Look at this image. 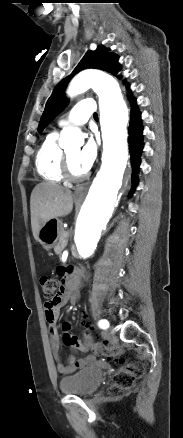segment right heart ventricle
Masks as SVG:
<instances>
[{
    "mask_svg": "<svg viewBox=\"0 0 183 438\" xmlns=\"http://www.w3.org/2000/svg\"><path fill=\"white\" fill-rule=\"evenodd\" d=\"M57 137V133H51L45 138L36 156V167L45 180L60 183L64 181L61 171L63 150L57 143Z\"/></svg>",
    "mask_w": 183,
    "mask_h": 438,
    "instance_id": "e07e8e85",
    "label": "right heart ventricle"
}]
</instances>
